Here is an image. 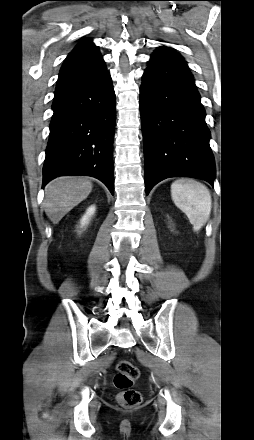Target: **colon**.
<instances>
[{
  "label": "colon",
  "instance_id": "5ec220e1",
  "mask_svg": "<svg viewBox=\"0 0 254 440\" xmlns=\"http://www.w3.org/2000/svg\"><path fill=\"white\" fill-rule=\"evenodd\" d=\"M139 377L138 368L127 360H119L116 364L114 385L119 390L118 403L124 408L137 407L142 402L141 393L133 388Z\"/></svg>",
  "mask_w": 254,
  "mask_h": 440
}]
</instances>
